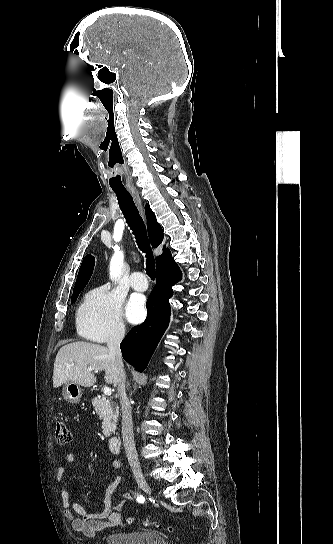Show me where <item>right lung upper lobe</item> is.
<instances>
[{"instance_id": "1", "label": "right lung upper lobe", "mask_w": 333, "mask_h": 544, "mask_svg": "<svg viewBox=\"0 0 333 544\" xmlns=\"http://www.w3.org/2000/svg\"><path fill=\"white\" fill-rule=\"evenodd\" d=\"M145 213L147 218V228H148V234L151 241V244L153 247L159 246L164 238V234L162 231V228L160 224L157 222L156 217L152 210L150 209L149 204H146L145 206ZM94 258L91 255H87L80 266L79 273L76 279V284L74 286V292L81 291L86 284L88 283V280L90 279L93 267H94ZM175 264V261L171 257V253L168 249H164V252L162 255L157 257V271L166 268L170 265Z\"/></svg>"}]
</instances>
